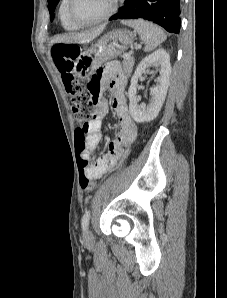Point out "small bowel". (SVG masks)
Returning <instances> with one entry per match:
<instances>
[{
	"label": "small bowel",
	"mask_w": 227,
	"mask_h": 298,
	"mask_svg": "<svg viewBox=\"0 0 227 298\" xmlns=\"http://www.w3.org/2000/svg\"><path fill=\"white\" fill-rule=\"evenodd\" d=\"M101 68L103 69H94V75H91L86 82L87 92H91L90 103H96L95 110H92L91 114L96 117H90L89 125H83V130H86L87 134L85 155L88 157L90 151L96 150L102 140V122L108 112V103L103 98L106 88L109 90L112 107L119 119V131L109 143L108 152L86 169L92 179H98L110 171L121 156L123 148L131 145L137 136V124L130 115L124 96L126 76L120 64L116 61L101 63Z\"/></svg>",
	"instance_id": "obj_1"
}]
</instances>
